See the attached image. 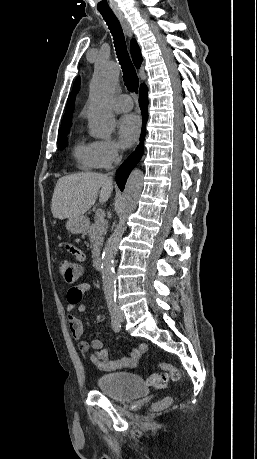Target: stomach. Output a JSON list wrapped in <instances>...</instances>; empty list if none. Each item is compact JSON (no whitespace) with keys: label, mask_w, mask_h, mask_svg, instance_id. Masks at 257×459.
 I'll return each instance as SVG.
<instances>
[{"label":"stomach","mask_w":257,"mask_h":459,"mask_svg":"<svg viewBox=\"0 0 257 459\" xmlns=\"http://www.w3.org/2000/svg\"><path fill=\"white\" fill-rule=\"evenodd\" d=\"M87 222L84 216L69 218L66 223V228L72 234H80L84 232Z\"/></svg>","instance_id":"1"}]
</instances>
